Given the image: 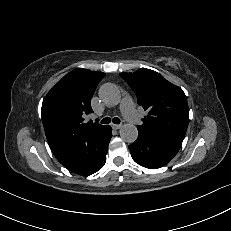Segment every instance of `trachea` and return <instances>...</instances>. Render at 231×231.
<instances>
[{"label":"trachea","instance_id":"3493384b","mask_svg":"<svg viewBox=\"0 0 231 231\" xmlns=\"http://www.w3.org/2000/svg\"><path fill=\"white\" fill-rule=\"evenodd\" d=\"M113 123L114 124H120V119L118 117L113 118ZM111 122V119L109 117H105L104 119L101 120L102 124H108Z\"/></svg>","mask_w":231,"mask_h":231}]
</instances>
